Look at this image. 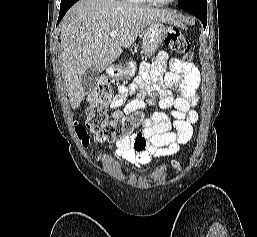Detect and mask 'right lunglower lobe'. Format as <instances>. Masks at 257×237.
Wrapping results in <instances>:
<instances>
[{
    "mask_svg": "<svg viewBox=\"0 0 257 237\" xmlns=\"http://www.w3.org/2000/svg\"><path fill=\"white\" fill-rule=\"evenodd\" d=\"M78 1V0H77ZM76 1V2H77ZM74 4V3H73ZM72 4V5H73ZM72 5H69L67 7H64V8H60V14H59V18H58V22H57V25L59 24V22L62 20V18L64 17L65 13L68 11V9L72 6Z\"/></svg>",
    "mask_w": 257,
    "mask_h": 237,
    "instance_id": "98d812e1",
    "label": "right lung lower lobe"
}]
</instances>
